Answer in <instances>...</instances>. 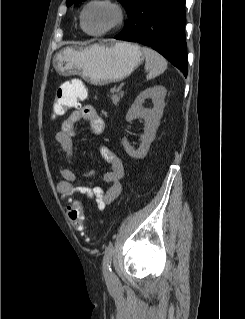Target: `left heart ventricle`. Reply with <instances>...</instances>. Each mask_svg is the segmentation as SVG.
<instances>
[{"label":"left heart ventricle","instance_id":"1","mask_svg":"<svg viewBox=\"0 0 245 319\" xmlns=\"http://www.w3.org/2000/svg\"><path fill=\"white\" fill-rule=\"evenodd\" d=\"M115 19V13L112 9L102 5L91 7L85 16V26L87 30L96 32L110 26Z\"/></svg>","mask_w":245,"mask_h":319}]
</instances>
